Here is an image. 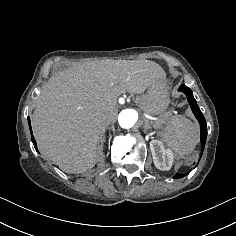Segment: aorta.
<instances>
[{
  "instance_id": "762f6f07",
  "label": "aorta",
  "mask_w": 236,
  "mask_h": 236,
  "mask_svg": "<svg viewBox=\"0 0 236 236\" xmlns=\"http://www.w3.org/2000/svg\"><path fill=\"white\" fill-rule=\"evenodd\" d=\"M138 120V113L134 109H124L118 116L119 125L124 129H129L135 125Z\"/></svg>"
}]
</instances>
